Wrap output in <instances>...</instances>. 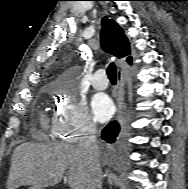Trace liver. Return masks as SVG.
I'll list each match as a JSON object with an SVG mask.
<instances>
[{
    "label": "liver",
    "mask_w": 188,
    "mask_h": 189,
    "mask_svg": "<svg viewBox=\"0 0 188 189\" xmlns=\"http://www.w3.org/2000/svg\"><path fill=\"white\" fill-rule=\"evenodd\" d=\"M68 169L72 189H85L90 163L78 146L65 143H23L12 156L7 189L32 186L33 189L58 184Z\"/></svg>",
    "instance_id": "6515ba94"
}]
</instances>
